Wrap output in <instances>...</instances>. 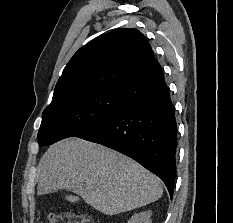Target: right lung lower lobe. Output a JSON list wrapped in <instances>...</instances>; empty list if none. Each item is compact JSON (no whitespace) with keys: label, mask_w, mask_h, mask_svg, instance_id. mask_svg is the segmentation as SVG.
<instances>
[{"label":"right lung lower lobe","mask_w":233,"mask_h":223,"mask_svg":"<svg viewBox=\"0 0 233 223\" xmlns=\"http://www.w3.org/2000/svg\"><path fill=\"white\" fill-rule=\"evenodd\" d=\"M121 108L80 136L117 150L160 177L172 198L177 126L163 72L121 89Z\"/></svg>","instance_id":"1"}]
</instances>
